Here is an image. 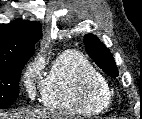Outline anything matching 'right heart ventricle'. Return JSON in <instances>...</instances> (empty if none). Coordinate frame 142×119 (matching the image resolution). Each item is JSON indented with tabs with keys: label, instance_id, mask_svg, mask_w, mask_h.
<instances>
[{
	"label": "right heart ventricle",
	"instance_id": "obj_1",
	"mask_svg": "<svg viewBox=\"0 0 142 119\" xmlns=\"http://www.w3.org/2000/svg\"><path fill=\"white\" fill-rule=\"evenodd\" d=\"M109 95L105 77L78 51L67 50L52 63L41 86L42 102L83 115L101 113Z\"/></svg>",
	"mask_w": 142,
	"mask_h": 119
}]
</instances>
